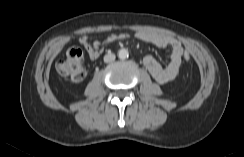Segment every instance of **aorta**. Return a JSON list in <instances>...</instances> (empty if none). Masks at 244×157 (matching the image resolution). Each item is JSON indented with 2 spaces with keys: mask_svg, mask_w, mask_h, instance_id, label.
I'll use <instances>...</instances> for the list:
<instances>
[{
  "mask_svg": "<svg viewBox=\"0 0 244 157\" xmlns=\"http://www.w3.org/2000/svg\"><path fill=\"white\" fill-rule=\"evenodd\" d=\"M128 56H129V52H128L127 49H120V50L118 51V57H119L120 59H126V58H128Z\"/></svg>",
  "mask_w": 244,
  "mask_h": 157,
  "instance_id": "762f6f07",
  "label": "aorta"
}]
</instances>
